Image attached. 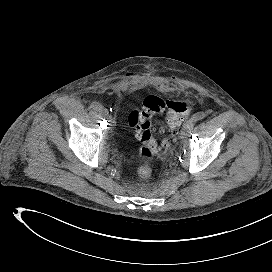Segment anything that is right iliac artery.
<instances>
[{
	"label": "right iliac artery",
	"mask_w": 272,
	"mask_h": 272,
	"mask_svg": "<svg viewBox=\"0 0 272 272\" xmlns=\"http://www.w3.org/2000/svg\"><path fill=\"white\" fill-rule=\"evenodd\" d=\"M90 108H92L94 111H100L102 109V105H100L98 102H92Z\"/></svg>",
	"instance_id": "obj_1"
}]
</instances>
